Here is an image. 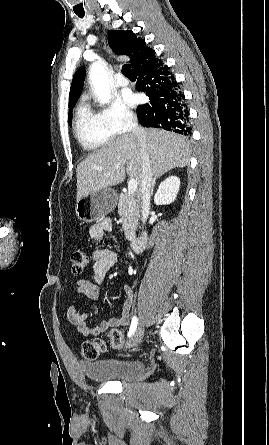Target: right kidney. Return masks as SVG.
<instances>
[{"label": "right kidney", "instance_id": "1", "mask_svg": "<svg viewBox=\"0 0 269 445\" xmlns=\"http://www.w3.org/2000/svg\"><path fill=\"white\" fill-rule=\"evenodd\" d=\"M180 187V179L177 176H169L158 187L154 196L156 205H167L172 203L177 196Z\"/></svg>", "mask_w": 269, "mask_h": 445}]
</instances>
